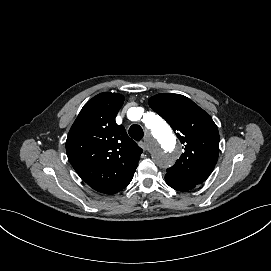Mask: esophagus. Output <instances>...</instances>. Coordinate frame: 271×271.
Returning <instances> with one entry per match:
<instances>
[{"label":"esophagus","mask_w":271,"mask_h":271,"mask_svg":"<svg viewBox=\"0 0 271 271\" xmlns=\"http://www.w3.org/2000/svg\"><path fill=\"white\" fill-rule=\"evenodd\" d=\"M150 134L145 133V137L141 138L138 142V147L141 151L143 152H148L152 149L153 147V142L149 138Z\"/></svg>","instance_id":"1"}]
</instances>
